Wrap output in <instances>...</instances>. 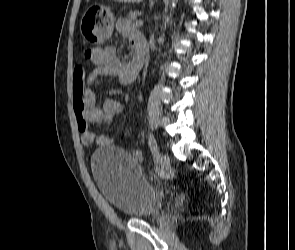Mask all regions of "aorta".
<instances>
[{"label": "aorta", "mask_w": 295, "mask_h": 250, "mask_svg": "<svg viewBox=\"0 0 295 250\" xmlns=\"http://www.w3.org/2000/svg\"><path fill=\"white\" fill-rule=\"evenodd\" d=\"M177 2H178V0H173V7L176 5ZM167 23H168V19L165 20V22H164V26L162 27L163 32H162V35L159 37L158 42H162L164 40V36H165L164 31L166 29V24Z\"/></svg>", "instance_id": "762f6f07"}]
</instances>
